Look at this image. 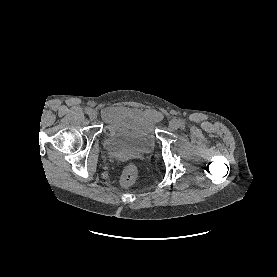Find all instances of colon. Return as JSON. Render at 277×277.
I'll return each instance as SVG.
<instances>
[{
  "instance_id": "obj_1",
  "label": "colon",
  "mask_w": 277,
  "mask_h": 277,
  "mask_svg": "<svg viewBox=\"0 0 277 277\" xmlns=\"http://www.w3.org/2000/svg\"><path fill=\"white\" fill-rule=\"evenodd\" d=\"M136 178H137V168L135 165L133 164H128L121 176H120V184L124 187H128V186H131L135 181H136Z\"/></svg>"
}]
</instances>
